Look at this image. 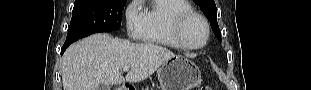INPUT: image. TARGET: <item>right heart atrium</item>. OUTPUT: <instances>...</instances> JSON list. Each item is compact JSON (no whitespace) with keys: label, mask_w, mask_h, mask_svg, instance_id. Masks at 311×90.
I'll list each match as a JSON object with an SVG mask.
<instances>
[{"label":"right heart atrium","mask_w":311,"mask_h":90,"mask_svg":"<svg viewBox=\"0 0 311 90\" xmlns=\"http://www.w3.org/2000/svg\"><path fill=\"white\" fill-rule=\"evenodd\" d=\"M141 0L131 1L125 9L126 31L130 38L141 37L144 25V15L140 10Z\"/></svg>","instance_id":"d8ad5b80"}]
</instances>
